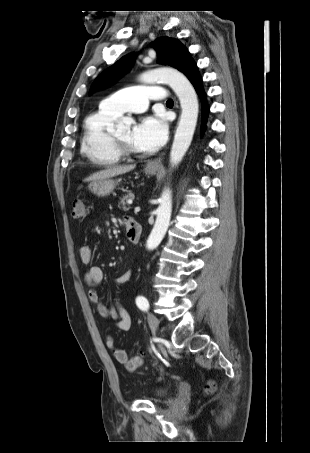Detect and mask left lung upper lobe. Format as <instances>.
I'll list each match as a JSON object with an SVG mask.
<instances>
[{"instance_id": "left-lung-upper-lobe-1", "label": "left lung upper lobe", "mask_w": 310, "mask_h": 453, "mask_svg": "<svg viewBox=\"0 0 310 453\" xmlns=\"http://www.w3.org/2000/svg\"><path fill=\"white\" fill-rule=\"evenodd\" d=\"M151 46L156 50L157 59L160 64L170 65L179 71H181L187 59L190 58V54L185 46L173 38H159ZM132 61L133 56L126 55L103 71L92 84L90 93L115 82L131 68Z\"/></svg>"}]
</instances>
